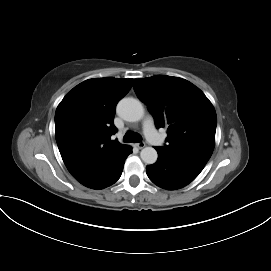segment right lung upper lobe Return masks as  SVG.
Returning <instances> with one entry per match:
<instances>
[{
	"mask_svg": "<svg viewBox=\"0 0 271 271\" xmlns=\"http://www.w3.org/2000/svg\"><path fill=\"white\" fill-rule=\"evenodd\" d=\"M133 79L94 78L74 87L55 113V137L69 172L83 185L101 176L127 149L113 120L117 102Z\"/></svg>",
	"mask_w": 271,
	"mask_h": 271,
	"instance_id": "1",
	"label": "right lung upper lobe"
}]
</instances>
